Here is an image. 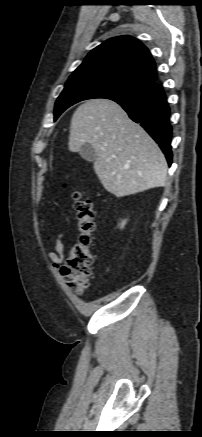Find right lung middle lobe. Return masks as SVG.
Here are the masks:
<instances>
[{"instance_id":"1","label":"right lung middle lobe","mask_w":202,"mask_h":437,"mask_svg":"<svg viewBox=\"0 0 202 437\" xmlns=\"http://www.w3.org/2000/svg\"><path fill=\"white\" fill-rule=\"evenodd\" d=\"M154 84L133 79L110 71L74 72L55 104L54 119L71 105L86 99L135 96L149 90Z\"/></svg>"}]
</instances>
